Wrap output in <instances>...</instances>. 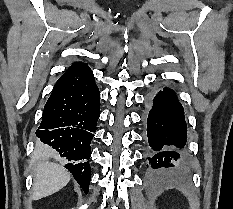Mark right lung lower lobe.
Returning a JSON list of instances; mask_svg holds the SVG:
<instances>
[{
  "instance_id": "right-lung-lower-lobe-1",
  "label": "right lung lower lobe",
  "mask_w": 233,
  "mask_h": 209,
  "mask_svg": "<svg viewBox=\"0 0 233 209\" xmlns=\"http://www.w3.org/2000/svg\"><path fill=\"white\" fill-rule=\"evenodd\" d=\"M100 116V92L88 65L56 82L36 131L40 140L68 160L65 167L87 194L91 180L90 143Z\"/></svg>"
}]
</instances>
